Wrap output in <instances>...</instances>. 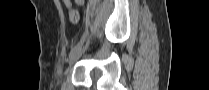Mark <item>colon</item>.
Returning a JSON list of instances; mask_svg holds the SVG:
<instances>
[{
    "label": "colon",
    "instance_id": "colon-1",
    "mask_svg": "<svg viewBox=\"0 0 209 90\" xmlns=\"http://www.w3.org/2000/svg\"><path fill=\"white\" fill-rule=\"evenodd\" d=\"M70 16H71V20L73 22H76L78 20V18H79V13H78V11L76 9H72Z\"/></svg>",
    "mask_w": 209,
    "mask_h": 90
}]
</instances>
